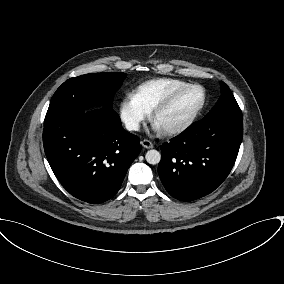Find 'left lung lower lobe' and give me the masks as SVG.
<instances>
[{
	"mask_svg": "<svg viewBox=\"0 0 284 284\" xmlns=\"http://www.w3.org/2000/svg\"><path fill=\"white\" fill-rule=\"evenodd\" d=\"M243 136L242 116L202 119L161 148L158 173L174 198L192 201L214 191L229 175Z\"/></svg>",
	"mask_w": 284,
	"mask_h": 284,
	"instance_id": "0a47b994",
	"label": "left lung lower lobe"
}]
</instances>
